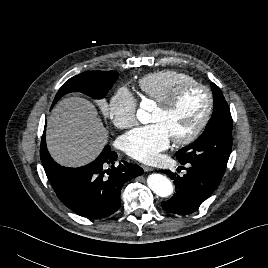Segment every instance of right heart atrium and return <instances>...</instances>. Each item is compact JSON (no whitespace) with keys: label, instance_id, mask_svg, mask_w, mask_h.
I'll return each instance as SVG.
<instances>
[{"label":"right heart atrium","instance_id":"d8ad5b80","mask_svg":"<svg viewBox=\"0 0 268 268\" xmlns=\"http://www.w3.org/2000/svg\"><path fill=\"white\" fill-rule=\"evenodd\" d=\"M138 100L125 86L119 87L111 96L108 116L120 128H129L136 123Z\"/></svg>","mask_w":268,"mask_h":268}]
</instances>
